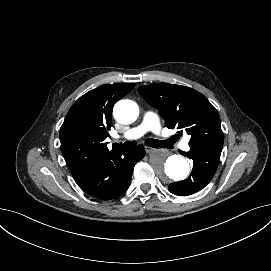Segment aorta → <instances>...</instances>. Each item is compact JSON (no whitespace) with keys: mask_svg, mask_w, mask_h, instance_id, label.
Returning a JSON list of instances; mask_svg holds the SVG:
<instances>
[{"mask_svg":"<svg viewBox=\"0 0 271 271\" xmlns=\"http://www.w3.org/2000/svg\"><path fill=\"white\" fill-rule=\"evenodd\" d=\"M114 117L122 124H131L138 118V105L132 100H121L114 106ZM150 164L163 180H184L190 172L187 159L168 151H155L150 155Z\"/></svg>","mask_w":271,"mask_h":271,"instance_id":"obj_1","label":"aorta"}]
</instances>
